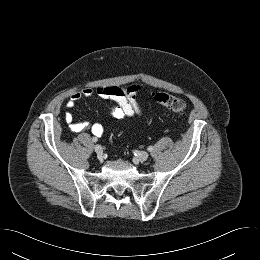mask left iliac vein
Segmentation results:
<instances>
[{
	"instance_id": "4c4485c4",
	"label": "left iliac vein",
	"mask_w": 260,
	"mask_h": 260,
	"mask_svg": "<svg viewBox=\"0 0 260 260\" xmlns=\"http://www.w3.org/2000/svg\"><path fill=\"white\" fill-rule=\"evenodd\" d=\"M148 157H149V154L146 151H142L137 155L136 158L138 161L144 162L148 159Z\"/></svg>"
}]
</instances>
